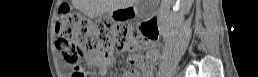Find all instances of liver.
<instances>
[{
    "label": "liver",
    "instance_id": "obj_1",
    "mask_svg": "<svg viewBox=\"0 0 258 77\" xmlns=\"http://www.w3.org/2000/svg\"><path fill=\"white\" fill-rule=\"evenodd\" d=\"M172 0H163L170 4ZM136 0H72L73 5L89 18L132 6Z\"/></svg>",
    "mask_w": 258,
    "mask_h": 77
}]
</instances>
